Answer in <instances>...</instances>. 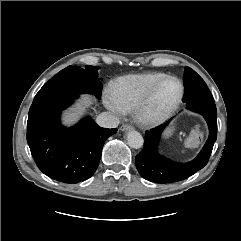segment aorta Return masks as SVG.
Listing matches in <instances>:
<instances>
[{
  "mask_svg": "<svg viewBox=\"0 0 241 241\" xmlns=\"http://www.w3.org/2000/svg\"><path fill=\"white\" fill-rule=\"evenodd\" d=\"M127 142L131 148L140 149L143 147L144 139L139 132L131 130L127 133Z\"/></svg>",
  "mask_w": 241,
  "mask_h": 241,
  "instance_id": "762f6f07",
  "label": "aorta"
}]
</instances>
